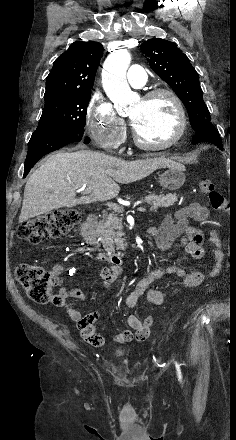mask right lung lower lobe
Here are the masks:
<instances>
[{"label":"right lung lower lobe","instance_id":"right-lung-lower-lobe-1","mask_svg":"<svg viewBox=\"0 0 236 440\" xmlns=\"http://www.w3.org/2000/svg\"><path fill=\"white\" fill-rule=\"evenodd\" d=\"M83 137V133L76 131L64 132H34L28 145V153L24 165V177L29 173L30 169L44 155L60 149L72 142H79ZM90 139L85 138V143H89Z\"/></svg>","mask_w":236,"mask_h":440}]
</instances>
